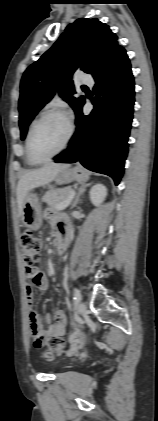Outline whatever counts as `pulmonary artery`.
<instances>
[{
    "instance_id": "pulmonary-artery-1",
    "label": "pulmonary artery",
    "mask_w": 158,
    "mask_h": 421,
    "mask_svg": "<svg viewBox=\"0 0 158 421\" xmlns=\"http://www.w3.org/2000/svg\"><path fill=\"white\" fill-rule=\"evenodd\" d=\"M81 83L86 84V85H93L94 84V80L92 77L90 76H83L81 78Z\"/></svg>"
}]
</instances>
